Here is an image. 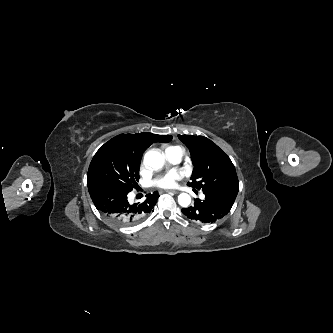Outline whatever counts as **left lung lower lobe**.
Segmentation results:
<instances>
[{
	"label": "left lung lower lobe",
	"instance_id": "left-lung-lower-lobe-1",
	"mask_svg": "<svg viewBox=\"0 0 333 333\" xmlns=\"http://www.w3.org/2000/svg\"><path fill=\"white\" fill-rule=\"evenodd\" d=\"M236 197L205 194L203 201L197 200L194 205L182 208V213L191 220L202 223H213L223 218L231 209Z\"/></svg>",
	"mask_w": 333,
	"mask_h": 333
}]
</instances>
